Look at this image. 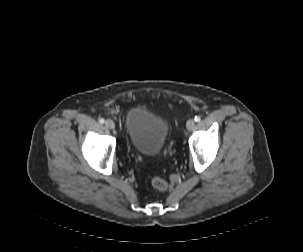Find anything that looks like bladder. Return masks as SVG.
<instances>
[{"mask_svg":"<svg viewBox=\"0 0 303 252\" xmlns=\"http://www.w3.org/2000/svg\"><path fill=\"white\" fill-rule=\"evenodd\" d=\"M125 127L132 148L147 158L158 154L170 131L164 119L142 108L129 110L125 118Z\"/></svg>","mask_w":303,"mask_h":252,"instance_id":"bladder-1","label":"bladder"}]
</instances>
